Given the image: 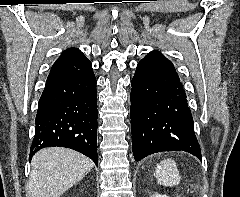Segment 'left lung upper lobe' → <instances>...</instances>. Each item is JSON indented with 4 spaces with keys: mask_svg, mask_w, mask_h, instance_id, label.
Listing matches in <instances>:
<instances>
[{
    "mask_svg": "<svg viewBox=\"0 0 240 197\" xmlns=\"http://www.w3.org/2000/svg\"><path fill=\"white\" fill-rule=\"evenodd\" d=\"M139 66L150 70H175L174 65L158 51L150 52L140 61Z\"/></svg>",
    "mask_w": 240,
    "mask_h": 197,
    "instance_id": "left-lung-upper-lobe-1",
    "label": "left lung upper lobe"
}]
</instances>
